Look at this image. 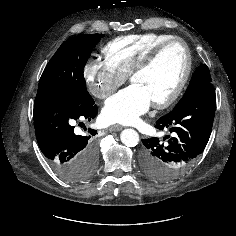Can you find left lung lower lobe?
Here are the masks:
<instances>
[{
	"mask_svg": "<svg viewBox=\"0 0 236 236\" xmlns=\"http://www.w3.org/2000/svg\"><path fill=\"white\" fill-rule=\"evenodd\" d=\"M216 108V96L208 85L179 108L162 116L155 127L168 128L171 136L142 139L143 172L158 181H168L185 171L204 151L211 135Z\"/></svg>",
	"mask_w": 236,
	"mask_h": 236,
	"instance_id": "left-lung-lower-lobe-1",
	"label": "left lung lower lobe"
}]
</instances>
